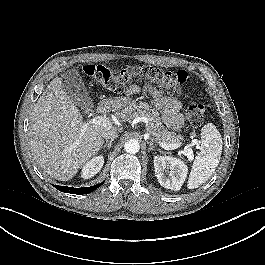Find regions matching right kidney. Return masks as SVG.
<instances>
[{
    "label": "right kidney",
    "instance_id": "obj_1",
    "mask_svg": "<svg viewBox=\"0 0 265 265\" xmlns=\"http://www.w3.org/2000/svg\"><path fill=\"white\" fill-rule=\"evenodd\" d=\"M103 164H104L103 156L93 157L84 165L81 177L84 179L92 178L101 170Z\"/></svg>",
    "mask_w": 265,
    "mask_h": 265
}]
</instances>
